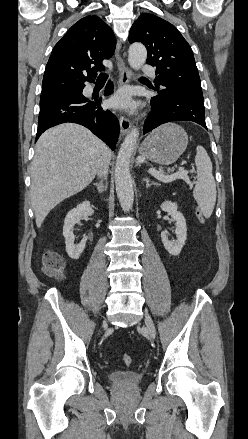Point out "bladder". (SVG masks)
I'll return each instance as SVG.
<instances>
[{"mask_svg": "<svg viewBox=\"0 0 248 439\" xmlns=\"http://www.w3.org/2000/svg\"><path fill=\"white\" fill-rule=\"evenodd\" d=\"M143 376L133 371H116L108 374V380L115 387H135L142 382Z\"/></svg>", "mask_w": 248, "mask_h": 439, "instance_id": "bladder-1", "label": "bladder"}]
</instances>
